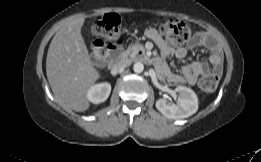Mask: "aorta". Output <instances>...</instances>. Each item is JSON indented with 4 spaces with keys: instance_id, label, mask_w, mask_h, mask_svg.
I'll list each match as a JSON object with an SVG mask.
<instances>
[{
    "instance_id": "762f6f07",
    "label": "aorta",
    "mask_w": 261,
    "mask_h": 162,
    "mask_svg": "<svg viewBox=\"0 0 261 162\" xmlns=\"http://www.w3.org/2000/svg\"><path fill=\"white\" fill-rule=\"evenodd\" d=\"M135 73H142L144 70V65L141 62H136L133 66Z\"/></svg>"
}]
</instances>
